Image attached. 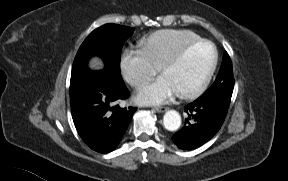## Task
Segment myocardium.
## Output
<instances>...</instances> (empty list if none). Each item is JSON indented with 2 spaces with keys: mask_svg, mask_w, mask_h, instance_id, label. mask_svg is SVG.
<instances>
[{
  "mask_svg": "<svg viewBox=\"0 0 288 181\" xmlns=\"http://www.w3.org/2000/svg\"><path fill=\"white\" fill-rule=\"evenodd\" d=\"M201 44H209L213 47V49L215 51V57H214L213 65H212L209 73L205 77V79L198 86L194 87L193 89L178 93V96L180 98L189 99V98L196 97V96L200 95L202 92H204V90L210 84V82H211V80H212V78L216 72V69L218 67V63H219V50H218V47L216 46V44L214 42L208 40V39H202V38L199 40H196L194 42H191V43L183 46L180 50H178L172 57L167 59L159 68L160 73L163 74L166 70L179 64L190 50H192L193 48H195L196 46L201 45Z\"/></svg>",
  "mask_w": 288,
  "mask_h": 181,
  "instance_id": "myocardium-1",
  "label": "myocardium"
}]
</instances>
